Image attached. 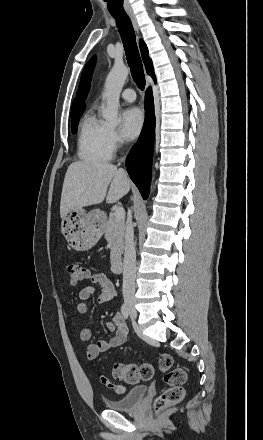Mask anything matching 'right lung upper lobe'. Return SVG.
Segmentation results:
<instances>
[{"mask_svg":"<svg viewBox=\"0 0 263 440\" xmlns=\"http://www.w3.org/2000/svg\"><path fill=\"white\" fill-rule=\"evenodd\" d=\"M139 45L141 49L142 58L145 63L146 71L152 78H155L153 64L149 57L147 46L143 40H140ZM95 62H96V56H93L85 66V69L81 76L79 89L77 92V99H75L72 104L71 118L83 113V110L85 108L84 102L86 100L87 94L90 89V81H91L93 68L95 66Z\"/></svg>","mask_w":263,"mask_h":440,"instance_id":"1","label":"right lung upper lobe"}]
</instances>
